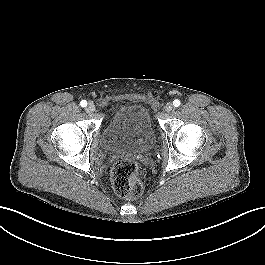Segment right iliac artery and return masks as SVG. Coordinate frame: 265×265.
<instances>
[{
  "mask_svg": "<svg viewBox=\"0 0 265 265\" xmlns=\"http://www.w3.org/2000/svg\"><path fill=\"white\" fill-rule=\"evenodd\" d=\"M80 105H81L82 107H86V106H87V101H86V100H82V101L80 102Z\"/></svg>",
  "mask_w": 265,
  "mask_h": 265,
  "instance_id": "obj_1",
  "label": "right iliac artery"
}]
</instances>
